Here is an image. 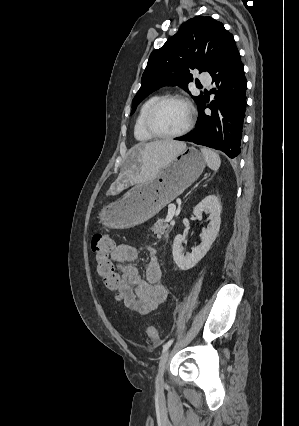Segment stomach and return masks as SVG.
Returning a JSON list of instances; mask_svg holds the SVG:
<instances>
[{"instance_id": "obj_1", "label": "stomach", "mask_w": 299, "mask_h": 426, "mask_svg": "<svg viewBox=\"0 0 299 426\" xmlns=\"http://www.w3.org/2000/svg\"><path fill=\"white\" fill-rule=\"evenodd\" d=\"M205 164L201 152L194 147L186 148L157 177L135 185L105 206L99 214L100 222L112 229H125L149 220L196 181Z\"/></svg>"}]
</instances>
